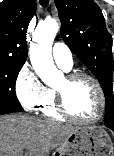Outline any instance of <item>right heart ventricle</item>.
Returning a JSON list of instances; mask_svg holds the SVG:
<instances>
[{"mask_svg":"<svg viewBox=\"0 0 114 156\" xmlns=\"http://www.w3.org/2000/svg\"><path fill=\"white\" fill-rule=\"evenodd\" d=\"M38 111L46 117H50L56 120L63 119V116L57 110L56 92L54 89L47 88V98L45 102L40 105Z\"/></svg>","mask_w":114,"mask_h":156,"instance_id":"e07e8e85","label":"right heart ventricle"}]
</instances>
